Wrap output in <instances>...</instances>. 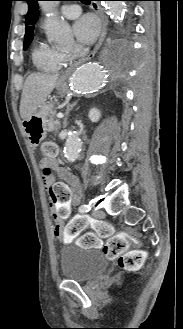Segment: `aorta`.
<instances>
[{
    "label": "aorta",
    "instance_id": "obj_1",
    "mask_svg": "<svg viewBox=\"0 0 183 329\" xmlns=\"http://www.w3.org/2000/svg\"><path fill=\"white\" fill-rule=\"evenodd\" d=\"M58 1H42L41 7L47 13L44 29L48 39L62 48L69 47L73 42V35L69 24L56 17L54 13ZM104 6L108 14L115 20L121 22L126 4L123 1H106ZM108 64L105 59L80 66L72 75L71 87L80 92L92 93L99 91L106 80V69ZM81 149V141L75 131L67 134L64 155L68 161L77 159Z\"/></svg>",
    "mask_w": 183,
    "mask_h": 329
}]
</instances>
